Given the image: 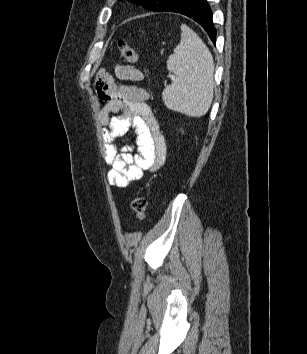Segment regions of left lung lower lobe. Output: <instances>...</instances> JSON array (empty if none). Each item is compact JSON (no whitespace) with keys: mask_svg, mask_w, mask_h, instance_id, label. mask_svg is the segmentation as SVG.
Listing matches in <instances>:
<instances>
[{"mask_svg":"<svg viewBox=\"0 0 307 354\" xmlns=\"http://www.w3.org/2000/svg\"><path fill=\"white\" fill-rule=\"evenodd\" d=\"M159 11L176 12L190 17L200 24L212 42L216 43L213 13L206 0H169Z\"/></svg>","mask_w":307,"mask_h":354,"instance_id":"0a47b994","label":"left lung lower lobe"}]
</instances>
